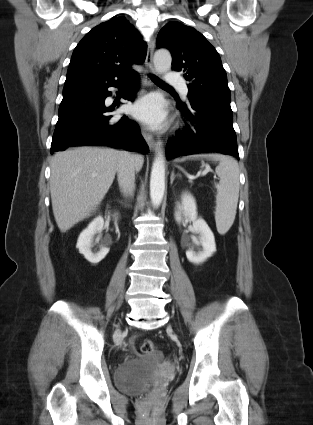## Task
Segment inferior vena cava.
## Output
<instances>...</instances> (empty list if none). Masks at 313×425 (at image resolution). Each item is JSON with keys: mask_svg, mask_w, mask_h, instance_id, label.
Returning a JSON list of instances; mask_svg holds the SVG:
<instances>
[{"mask_svg": "<svg viewBox=\"0 0 313 425\" xmlns=\"http://www.w3.org/2000/svg\"><path fill=\"white\" fill-rule=\"evenodd\" d=\"M136 165L133 155L125 154L119 161L117 177L121 192L124 196H132L135 190Z\"/></svg>", "mask_w": 313, "mask_h": 425, "instance_id": "obj_1", "label": "inferior vena cava"}]
</instances>
